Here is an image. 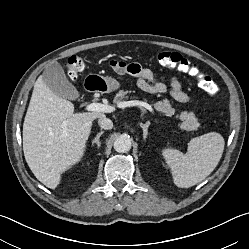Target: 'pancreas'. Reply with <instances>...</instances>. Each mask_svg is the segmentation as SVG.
Returning a JSON list of instances; mask_svg holds the SVG:
<instances>
[{"label":"pancreas","mask_w":249,"mask_h":249,"mask_svg":"<svg viewBox=\"0 0 249 249\" xmlns=\"http://www.w3.org/2000/svg\"><path fill=\"white\" fill-rule=\"evenodd\" d=\"M129 93H131V91L120 90L116 94L113 102L115 104H119L124 99L128 98L127 95ZM153 106L157 111H161L162 113H164L167 116H172L175 112V110L171 107L169 101H167V100L156 102L153 104ZM180 119L183 121L182 124L180 125V127L184 130H187V131L197 130V128L200 125L193 112H183L180 115Z\"/></svg>","instance_id":"pancreas-1"}]
</instances>
